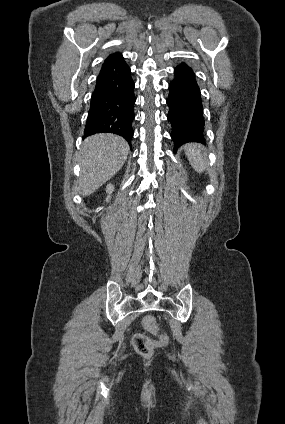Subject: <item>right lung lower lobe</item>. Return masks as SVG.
<instances>
[{
    "instance_id": "obj_1",
    "label": "right lung lower lobe",
    "mask_w": 285,
    "mask_h": 424,
    "mask_svg": "<svg viewBox=\"0 0 285 424\" xmlns=\"http://www.w3.org/2000/svg\"><path fill=\"white\" fill-rule=\"evenodd\" d=\"M133 90L131 70L123 57L105 62L91 96L84 137L96 133H114L131 145L135 104Z\"/></svg>"
}]
</instances>
